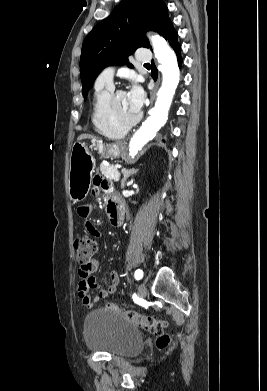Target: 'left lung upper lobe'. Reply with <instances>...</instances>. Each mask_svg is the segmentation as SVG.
<instances>
[{"label":"left lung upper lobe","instance_id":"1","mask_svg":"<svg viewBox=\"0 0 267 391\" xmlns=\"http://www.w3.org/2000/svg\"><path fill=\"white\" fill-rule=\"evenodd\" d=\"M172 27L162 0L121 1L84 40L80 58L84 99L102 69L112 64H126L128 56L137 48L150 47L146 31L153 30L164 37Z\"/></svg>","mask_w":267,"mask_h":391}]
</instances>
